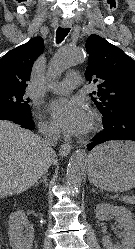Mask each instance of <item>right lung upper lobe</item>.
<instances>
[{"instance_id": "obj_1", "label": "right lung upper lobe", "mask_w": 135, "mask_h": 249, "mask_svg": "<svg viewBox=\"0 0 135 249\" xmlns=\"http://www.w3.org/2000/svg\"><path fill=\"white\" fill-rule=\"evenodd\" d=\"M41 37L10 50L0 59V91H25L34 61L43 52Z\"/></svg>"}]
</instances>
